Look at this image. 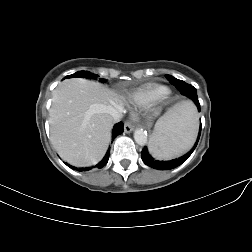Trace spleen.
Here are the masks:
<instances>
[{
    "label": "spleen",
    "instance_id": "obj_1",
    "mask_svg": "<svg viewBox=\"0 0 252 252\" xmlns=\"http://www.w3.org/2000/svg\"><path fill=\"white\" fill-rule=\"evenodd\" d=\"M197 128L194 106L189 102L176 104L157 121L149 142L150 153L160 160L184 154L194 144Z\"/></svg>",
    "mask_w": 252,
    "mask_h": 252
}]
</instances>
